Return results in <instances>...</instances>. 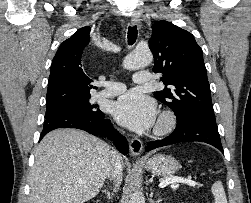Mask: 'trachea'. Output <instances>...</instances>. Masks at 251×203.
Masks as SVG:
<instances>
[{
    "label": "trachea",
    "instance_id": "trachea-1",
    "mask_svg": "<svg viewBox=\"0 0 251 203\" xmlns=\"http://www.w3.org/2000/svg\"><path fill=\"white\" fill-rule=\"evenodd\" d=\"M137 26H129L128 28V44L132 45L135 43L136 39H137Z\"/></svg>",
    "mask_w": 251,
    "mask_h": 203
}]
</instances>
